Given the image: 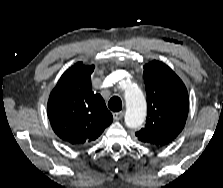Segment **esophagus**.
I'll use <instances>...</instances> for the list:
<instances>
[{"mask_svg":"<svg viewBox=\"0 0 223 188\" xmlns=\"http://www.w3.org/2000/svg\"><path fill=\"white\" fill-rule=\"evenodd\" d=\"M124 116V112L123 111H120V112H115L113 113V118L114 120H121Z\"/></svg>","mask_w":223,"mask_h":188,"instance_id":"34e87169","label":"esophagus"}]
</instances>
